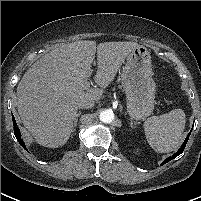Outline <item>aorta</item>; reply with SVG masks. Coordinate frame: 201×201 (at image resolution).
Masks as SVG:
<instances>
[{
    "label": "aorta",
    "mask_w": 201,
    "mask_h": 201,
    "mask_svg": "<svg viewBox=\"0 0 201 201\" xmlns=\"http://www.w3.org/2000/svg\"><path fill=\"white\" fill-rule=\"evenodd\" d=\"M99 119L103 123H111L114 120V113L111 110H104L100 113Z\"/></svg>",
    "instance_id": "obj_1"
}]
</instances>
